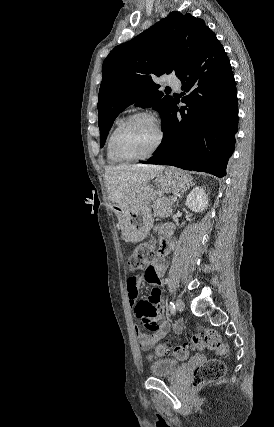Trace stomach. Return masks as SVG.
Returning <instances> with one entry per match:
<instances>
[{"label":"stomach","mask_w":274,"mask_h":427,"mask_svg":"<svg viewBox=\"0 0 274 427\" xmlns=\"http://www.w3.org/2000/svg\"><path fill=\"white\" fill-rule=\"evenodd\" d=\"M192 184V178L187 172L177 168H166L155 176L152 184L141 182L134 190L131 202L115 204L114 212L119 219L120 229L127 241H142L149 233L153 223L150 202H153L159 192H183ZM156 186L157 190H155Z\"/></svg>","instance_id":"obj_1"}]
</instances>
